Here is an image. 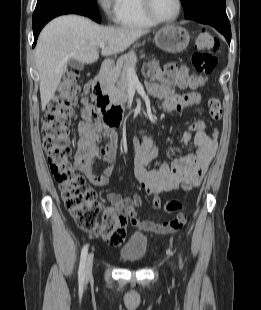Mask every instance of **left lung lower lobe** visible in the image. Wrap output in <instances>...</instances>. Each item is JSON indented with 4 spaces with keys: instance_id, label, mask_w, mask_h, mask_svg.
<instances>
[{
    "instance_id": "left-lung-lower-lobe-1",
    "label": "left lung lower lobe",
    "mask_w": 261,
    "mask_h": 310,
    "mask_svg": "<svg viewBox=\"0 0 261 310\" xmlns=\"http://www.w3.org/2000/svg\"><path fill=\"white\" fill-rule=\"evenodd\" d=\"M200 23L210 25L217 29L221 34H223L230 44L231 41V28L229 20L220 21V20H204Z\"/></svg>"
}]
</instances>
